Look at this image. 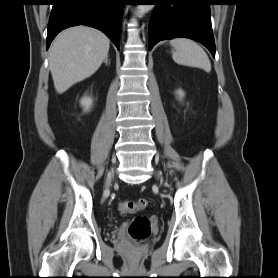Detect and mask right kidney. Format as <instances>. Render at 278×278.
<instances>
[{"instance_id":"ca27d5eb","label":"right kidney","mask_w":278,"mask_h":278,"mask_svg":"<svg viewBox=\"0 0 278 278\" xmlns=\"http://www.w3.org/2000/svg\"><path fill=\"white\" fill-rule=\"evenodd\" d=\"M81 105L84 107L85 111L90 110L92 104H93V100L91 97H83L80 101Z\"/></svg>"}]
</instances>
